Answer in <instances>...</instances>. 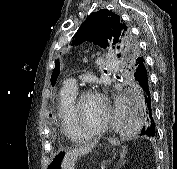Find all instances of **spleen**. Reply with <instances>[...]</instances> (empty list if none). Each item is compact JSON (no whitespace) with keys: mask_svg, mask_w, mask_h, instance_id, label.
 <instances>
[{"mask_svg":"<svg viewBox=\"0 0 177 169\" xmlns=\"http://www.w3.org/2000/svg\"><path fill=\"white\" fill-rule=\"evenodd\" d=\"M125 154H126V147H123L122 157H125Z\"/></svg>","mask_w":177,"mask_h":169,"instance_id":"spleen-1","label":"spleen"}]
</instances>
